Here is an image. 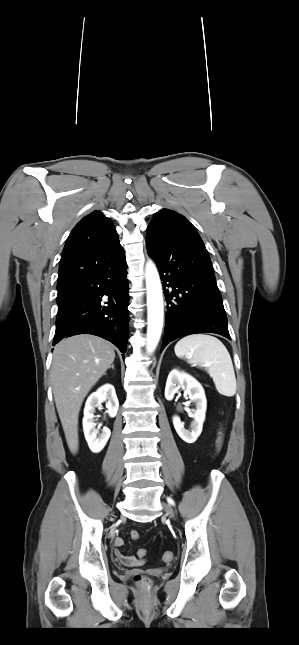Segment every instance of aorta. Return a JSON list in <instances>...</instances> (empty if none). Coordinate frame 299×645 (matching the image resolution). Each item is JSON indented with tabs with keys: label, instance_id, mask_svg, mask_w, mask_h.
Instances as JSON below:
<instances>
[{
	"label": "aorta",
	"instance_id": "aorta-1",
	"mask_svg": "<svg viewBox=\"0 0 299 645\" xmlns=\"http://www.w3.org/2000/svg\"><path fill=\"white\" fill-rule=\"evenodd\" d=\"M145 278L148 308L147 352L151 354L160 340L164 320L161 281L158 270L152 261H148L146 264Z\"/></svg>",
	"mask_w": 299,
	"mask_h": 645
}]
</instances>
